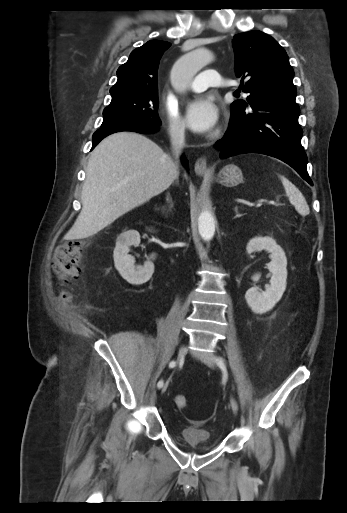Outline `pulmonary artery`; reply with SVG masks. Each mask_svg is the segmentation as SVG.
<instances>
[{"label": "pulmonary artery", "instance_id": "1", "mask_svg": "<svg viewBox=\"0 0 347 513\" xmlns=\"http://www.w3.org/2000/svg\"><path fill=\"white\" fill-rule=\"evenodd\" d=\"M229 84L214 69L200 72L192 81L190 88L194 92H202L210 86H228Z\"/></svg>", "mask_w": 347, "mask_h": 513}]
</instances>
